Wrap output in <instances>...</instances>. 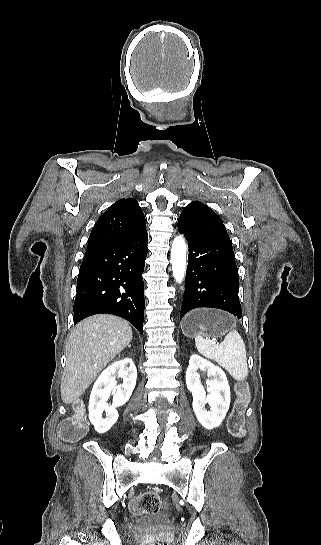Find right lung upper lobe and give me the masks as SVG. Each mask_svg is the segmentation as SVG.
<instances>
[{
  "label": "right lung upper lobe",
  "mask_w": 321,
  "mask_h": 545,
  "mask_svg": "<svg viewBox=\"0 0 321 545\" xmlns=\"http://www.w3.org/2000/svg\"><path fill=\"white\" fill-rule=\"evenodd\" d=\"M145 227V217L138 202L134 198L121 199L97 220L87 249L120 241Z\"/></svg>",
  "instance_id": "cb5924a9"
}]
</instances>
